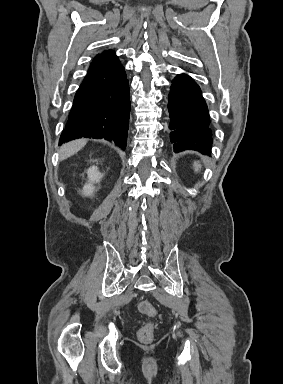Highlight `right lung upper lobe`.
I'll return each mask as SVG.
<instances>
[{
	"mask_svg": "<svg viewBox=\"0 0 283 384\" xmlns=\"http://www.w3.org/2000/svg\"><path fill=\"white\" fill-rule=\"evenodd\" d=\"M119 63L118 57L115 55V52L112 50H106L101 54H98L90 64L89 70L96 71L104 69L107 67L114 66Z\"/></svg>",
	"mask_w": 283,
	"mask_h": 384,
	"instance_id": "1",
	"label": "right lung upper lobe"
}]
</instances>
